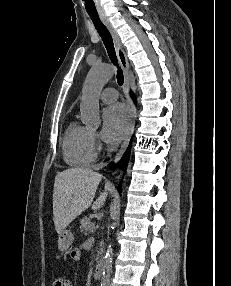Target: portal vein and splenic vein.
Instances as JSON below:
<instances>
[{
  "label": "portal vein and splenic vein",
  "mask_w": 231,
  "mask_h": 286,
  "mask_svg": "<svg viewBox=\"0 0 231 286\" xmlns=\"http://www.w3.org/2000/svg\"><path fill=\"white\" fill-rule=\"evenodd\" d=\"M91 231L93 232L94 230H95V224L94 223H92V225H91Z\"/></svg>",
  "instance_id": "obj_1"
}]
</instances>
